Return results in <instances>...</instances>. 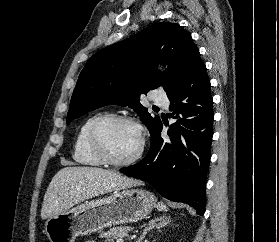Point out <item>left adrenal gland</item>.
<instances>
[{"instance_id":"obj_1","label":"left adrenal gland","mask_w":279,"mask_h":242,"mask_svg":"<svg viewBox=\"0 0 279 242\" xmlns=\"http://www.w3.org/2000/svg\"><path fill=\"white\" fill-rule=\"evenodd\" d=\"M170 222V217H166V216H161V217H157L154 219H151L147 225V227H145V229L143 230L142 234L140 235V237L138 238L137 242H141L146 234L148 233V231L154 229V228H161L164 227L165 225H167Z\"/></svg>"}]
</instances>
